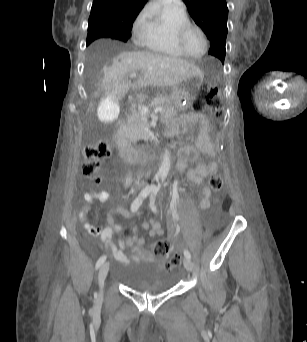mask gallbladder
<instances>
[{
	"label": "gallbladder",
	"instance_id": "1",
	"mask_svg": "<svg viewBox=\"0 0 307 342\" xmlns=\"http://www.w3.org/2000/svg\"><path fill=\"white\" fill-rule=\"evenodd\" d=\"M119 108V95H105L102 103L99 104L101 123H116V118L119 117Z\"/></svg>",
	"mask_w": 307,
	"mask_h": 342
}]
</instances>
